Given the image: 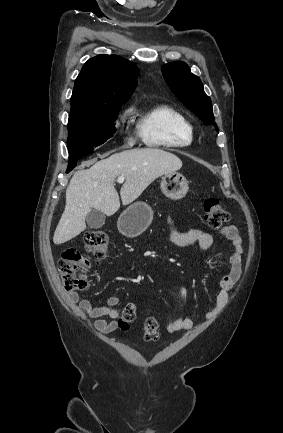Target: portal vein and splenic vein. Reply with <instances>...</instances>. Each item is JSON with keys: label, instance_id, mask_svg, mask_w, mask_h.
Wrapping results in <instances>:
<instances>
[{"label": "portal vein and splenic vein", "instance_id": "18ae733b", "mask_svg": "<svg viewBox=\"0 0 283 433\" xmlns=\"http://www.w3.org/2000/svg\"><path fill=\"white\" fill-rule=\"evenodd\" d=\"M125 176H118L117 182H124Z\"/></svg>", "mask_w": 283, "mask_h": 433}]
</instances>
